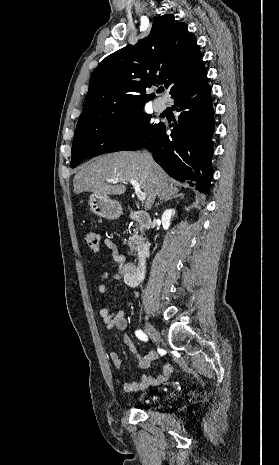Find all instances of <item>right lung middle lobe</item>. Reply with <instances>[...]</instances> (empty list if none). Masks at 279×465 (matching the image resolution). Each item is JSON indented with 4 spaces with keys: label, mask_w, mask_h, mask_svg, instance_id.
<instances>
[{
    "label": "right lung middle lobe",
    "mask_w": 279,
    "mask_h": 465,
    "mask_svg": "<svg viewBox=\"0 0 279 465\" xmlns=\"http://www.w3.org/2000/svg\"><path fill=\"white\" fill-rule=\"evenodd\" d=\"M151 116L143 107L122 113L104 115L95 122L78 125L74 132L70 167H76L87 157L126 148L142 147L159 131L162 123L151 124Z\"/></svg>",
    "instance_id": "dd1d6c3e"
}]
</instances>
